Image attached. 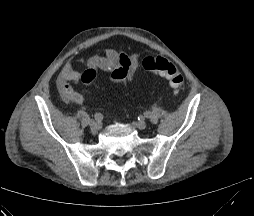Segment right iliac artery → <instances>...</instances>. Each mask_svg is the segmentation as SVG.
I'll return each mask as SVG.
<instances>
[{
    "instance_id": "82829eb1",
    "label": "right iliac artery",
    "mask_w": 254,
    "mask_h": 216,
    "mask_svg": "<svg viewBox=\"0 0 254 216\" xmlns=\"http://www.w3.org/2000/svg\"><path fill=\"white\" fill-rule=\"evenodd\" d=\"M94 119H95L97 122H102V120H103V115H102L101 113H95Z\"/></svg>"
}]
</instances>
